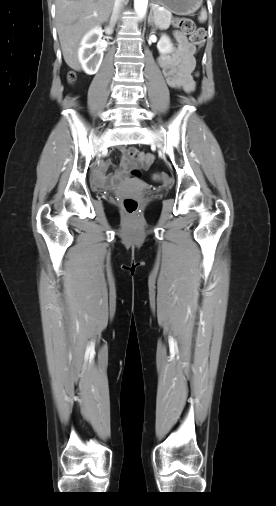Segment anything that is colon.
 <instances>
[{
	"instance_id": "colon-1",
	"label": "colon",
	"mask_w": 276,
	"mask_h": 506,
	"mask_svg": "<svg viewBox=\"0 0 276 506\" xmlns=\"http://www.w3.org/2000/svg\"><path fill=\"white\" fill-rule=\"evenodd\" d=\"M175 25L183 34L189 36L190 41L194 46L201 48L204 45L206 33L203 29H197L192 19L187 17L178 18L175 20ZM68 78L70 81H74L75 75L70 73ZM131 174L133 177L138 178L141 173L140 170L133 169ZM154 180L160 183H167L168 177L164 173H158L154 175ZM123 207L127 213L134 214L138 209V201L133 197H126L123 199Z\"/></svg>"
}]
</instances>
